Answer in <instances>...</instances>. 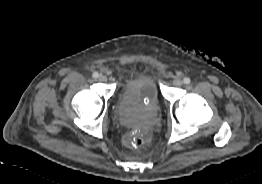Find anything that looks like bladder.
Returning a JSON list of instances; mask_svg holds the SVG:
<instances>
[{"label": "bladder", "instance_id": "31cf9c89", "mask_svg": "<svg viewBox=\"0 0 262 184\" xmlns=\"http://www.w3.org/2000/svg\"><path fill=\"white\" fill-rule=\"evenodd\" d=\"M119 96L120 120L124 124L132 126L137 125L139 120L133 114L124 111V104L139 97L142 99L147 98L153 106H158L161 92L154 76L146 72H139L123 80Z\"/></svg>", "mask_w": 262, "mask_h": 184}]
</instances>
